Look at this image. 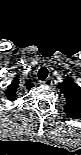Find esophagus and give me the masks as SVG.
<instances>
[{
  "label": "esophagus",
  "mask_w": 81,
  "mask_h": 155,
  "mask_svg": "<svg viewBox=\"0 0 81 155\" xmlns=\"http://www.w3.org/2000/svg\"><path fill=\"white\" fill-rule=\"evenodd\" d=\"M40 84L44 85V86H51L52 85V80L50 78H48V79L42 80L40 82Z\"/></svg>",
  "instance_id": "1"
}]
</instances>
